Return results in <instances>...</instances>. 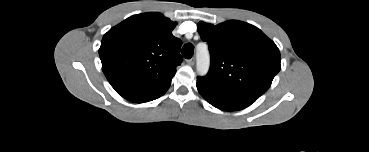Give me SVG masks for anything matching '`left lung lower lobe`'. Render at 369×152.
Here are the masks:
<instances>
[{
	"label": "left lung lower lobe",
	"instance_id": "1",
	"mask_svg": "<svg viewBox=\"0 0 369 152\" xmlns=\"http://www.w3.org/2000/svg\"><path fill=\"white\" fill-rule=\"evenodd\" d=\"M199 93L214 107L224 111H236L250 106L257 98L228 92L208 85L197 79Z\"/></svg>",
	"mask_w": 369,
	"mask_h": 152
}]
</instances>
